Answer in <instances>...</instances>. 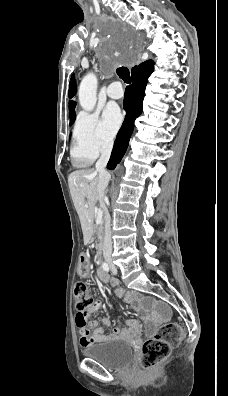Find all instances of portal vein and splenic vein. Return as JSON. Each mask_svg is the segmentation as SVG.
<instances>
[{
    "instance_id": "1",
    "label": "portal vein and splenic vein",
    "mask_w": 228,
    "mask_h": 396,
    "mask_svg": "<svg viewBox=\"0 0 228 396\" xmlns=\"http://www.w3.org/2000/svg\"><path fill=\"white\" fill-rule=\"evenodd\" d=\"M102 211L100 209L97 210L96 212V224H100L102 222Z\"/></svg>"
}]
</instances>
